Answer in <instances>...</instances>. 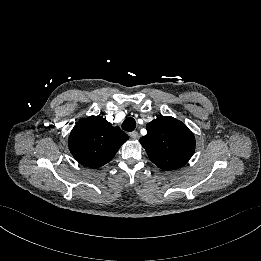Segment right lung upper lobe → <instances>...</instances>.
<instances>
[{"instance_id": "1", "label": "right lung upper lobe", "mask_w": 261, "mask_h": 261, "mask_svg": "<svg viewBox=\"0 0 261 261\" xmlns=\"http://www.w3.org/2000/svg\"><path fill=\"white\" fill-rule=\"evenodd\" d=\"M129 139L119 127L106 118L90 116L77 122L69 136V149L82 165L98 168L115 156L120 146Z\"/></svg>"}]
</instances>
